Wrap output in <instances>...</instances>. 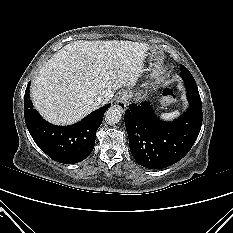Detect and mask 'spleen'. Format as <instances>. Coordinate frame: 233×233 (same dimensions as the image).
<instances>
[{
    "mask_svg": "<svg viewBox=\"0 0 233 233\" xmlns=\"http://www.w3.org/2000/svg\"><path fill=\"white\" fill-rule=\"evenodd\" d=\"M179 114H180V112L178 110H175L173 112L161 114L160 118L163 120L169 121V120H172V119L178 117Z\"/></svg>",
    "mask_w": 233,
    "mask_h": 233,
    "instance_id": "3e777b00",
    "label": "spleen"
}]
</instances>
